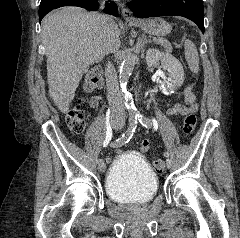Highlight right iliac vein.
<instances>
[{"mask_svg": "<svg viewBox=\"0 0 240 238\" xmlns=\"http://www.w3.org/2000/svg\"><path fill=\"white\" fill-rule=\"evenodd\" d=\"M112 126L115 129H119L120 128L119 124L116 123V122H112ZM105 169H106V164L104 162H101V163L98 164V171L99 172H104Z\"/></svg>", "mask_w": 240, "mask_h": 238, "instance_id": "obj_1", "label": "right iliac vein"}]
</instances>
